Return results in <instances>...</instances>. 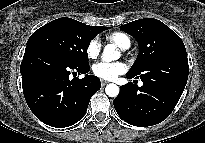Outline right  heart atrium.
<instances>
[{"label":"right heart atrium","instance_id":"1","mask_svg":"<svg viewBox=\"0 0 205 143\" xmlns=\"http://www.w3.org/2000/svg\"><path fill=\"white\" fill-rule=\"evenodd\" d=\"M101 51V41L98 37L92 38L86 46V54L89 58L95 59Z\"/></svg>","mask_w":205,"mask_h":143}]
</instances>
